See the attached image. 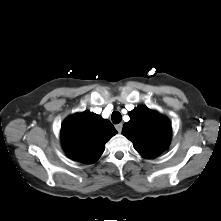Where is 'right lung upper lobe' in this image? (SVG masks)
Masks as SVG:
<instances>
[{
    "instance_id": "obj_1",
    "label": "right lung upper lobe",
    "mask_w": 221,
    "mask_h": 221,
    "mask_svg": "<svg viewBox=\"0 0 221 221\" xmlns=\"http://www.w3.org/2000/svg\"><path fill=\"white\" fill-rule=\"evenodd\" d=\"M117 133L109 120L85 111L68 117L61 128V141L68 156L93 163L103 153L105 143Z\"/></svg>"
}]
</instances>
